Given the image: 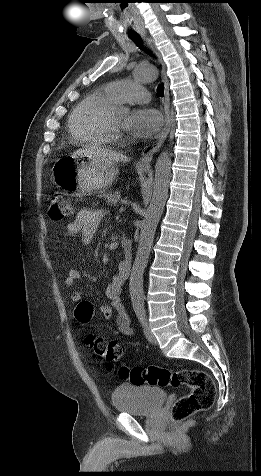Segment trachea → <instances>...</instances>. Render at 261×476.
<instances>
[{
    "label": "trachea",
    "instance_id": "3493384b",
    "mask_svg": "<svg viewBox=\"0 0 261 476\" xmlns=\"http://www.w3.org/2000/svg\"><path fill=\"white\" fill-rule=\"evenodd\" d=\"M130 38L133 40V42L139 47V48H142L144 49L146 52H149L148 49H146L145 47H143V44H142V41H141V37L138 36V35H133V36H130ZM157 94L160 96V97H163L164 96V85L163 84H160L158 87H157Z\"/></svg>",
    "mask_w": 261,
    "mask_h": 476
}]
</instances>
